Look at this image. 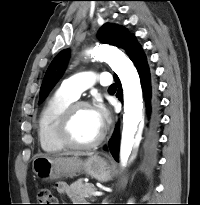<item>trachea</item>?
Returning a JSON list of instances; mask_svg holds the SVG:
<instances>
[{
	"mask_svg": "<svg viewBox=\"0 0 200 205\" xmlns=\"http://www.w3.org/2000/svg\"><path fill=\"white\" fill-rule=\"evenodd\" d=\"M114 89H116V86H115V84H112V85L109 87V90H114Z\"/></svg>",
	"mask_w": 200,
	"mask_h": 205,
	"instance_id": "1",
	"label": "trachea"
}]
</instances>
